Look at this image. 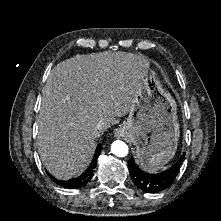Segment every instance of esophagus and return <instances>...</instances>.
I'll use <instances>...</instances> for the list:
<instances>
[{"label": "esophagus", "instance_id": "1", "mask_svg": "<svg viewBox=\"0 0 221 221\" xmlns=\"http://www.w3.org/2000/svg\"><path fill=\"white\" fill-rule=\"evenodd\" d=\"M124 134H125L124 128H122V127H118V128H116L115 131H114L115 137H123Z\"/></svg>", "mask_w": 221, "mask_h": 221}]
</instances>
